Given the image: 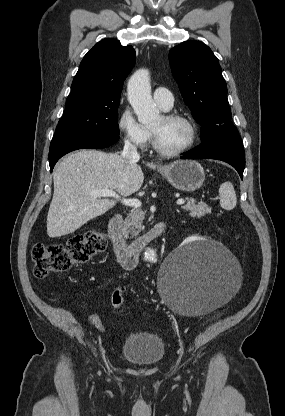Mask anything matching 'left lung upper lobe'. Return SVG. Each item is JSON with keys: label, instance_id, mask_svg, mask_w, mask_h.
<instances>
[{"label": "left lung upper lobe", "instance_id": "1", "mask_svg": "<svg viewBox=\"0 0 285 416\" xmlns=\"http://www.w3.org/2000/svg\"><path fill=\"white\" fill-rule=\"evenodd\" d=\"M169 60L183 100L202 126V141L239 133L231 122L227 85L211 49L200 41H186L170 50Z\"/></svg>", "mask_w": 285, "mask_h": 416}]
</instances>
